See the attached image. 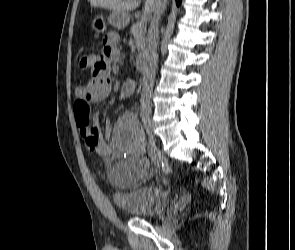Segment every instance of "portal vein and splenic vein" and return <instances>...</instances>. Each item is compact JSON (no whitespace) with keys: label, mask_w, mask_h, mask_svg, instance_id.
I'll use <instances>...</instances> for the list:
<instances>
[{"label":"portal vein and splenic vein","mask_w":295,"mask_h":250,"mask_svg":"<svg viewBox=\"0 0 295 250\" xmlns=\"http://www.w3.org/2000/svg\"><path fill=\"white\" fill-rule=\"evenodd\" d=\"M149 14H150V10L149 9H145L143 14H142V20L143 21H146L147 18L149 17Z\"/></svg>","instance_id":"18ae733b"}]
</instances>
